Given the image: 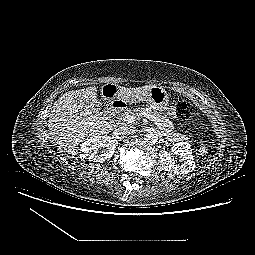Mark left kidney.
<instances>
[{
    "label": "left kidney",
    "mask_w": 255,
    "mask_h": 255,
    "mask_svg": "<svg viewBox=\"0 0 255 255\" xmlns=\"http://www.w3.org/2000/svg\"><path fill=\"white\" fill-rule=\"evenodd\" d=\"M173 155L180 158V164L175 163ZM159 159L163 170L175 174H187L195 169L191 145L186 142L173 144L170 152L161 150L159 152Z\"/></svg>",
    "instance_id": "5707ae66"
}]
</instances>
